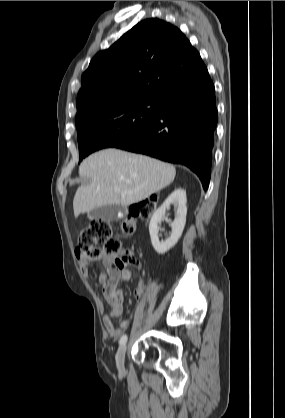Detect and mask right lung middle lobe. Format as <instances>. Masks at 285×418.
Listing matches in <instances>:
<instances>
[{
	"label": "right lung middle lobe",
	"instance_id": "1",
	"mask_svg": "<svg viewBox=\"0 0 285 418\" xmlns=\"http://www.w3.org/2000/svg\"><path fill=\"white\" fill-rule=\"evenodd\" d=\"M159 104L138 101L104 109L76 123L80 161L94 151L128 140L157 116Z\"/></svg>",
	"mask_w": 285,
	"mask_h": 418
}]
</instances>
